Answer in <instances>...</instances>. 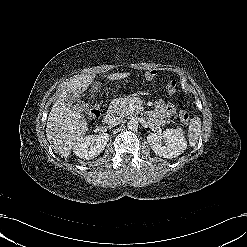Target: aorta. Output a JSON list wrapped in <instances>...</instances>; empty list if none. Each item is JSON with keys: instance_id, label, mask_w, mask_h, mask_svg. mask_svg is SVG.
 Listing matches in <instances>:
<instances>
[{"instance_id": "aorta-1", "label": "aorta", "mask_w": 247, "mask_h": 247, "mask_svg": "<svg viewBox=\"0 0 247 247\" xmlns=\"http://www.w3.org/2000/svg\"><path fill=\"white\" fill-rule=\"evenodd\" d=\"M138 126H139V122L137 119L135 118H131L130 120H128L127 122V127L128 129L130 130H137L138 129Z\"/></svg>"}]
</instances>
